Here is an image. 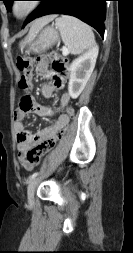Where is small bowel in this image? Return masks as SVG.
Instances as JSON below:
<instances>
[{
	"label": "small bowel",
	"mask_w": 133,
	"mask_h": 253,
	"mask_svg": "<svg viewBox=\"0 0 133 253\" xmlns=\"http://www.w3.org/2000/svg\"><path fill=\"white\" fill-rule=\"evenodd\" d=\"M36 71L40 77L47 79L41 88V93L44 97L50 98L56 91L64 87L63 78L50 70L46 56L38 57ZM69 101V93L63 92L59 98L60 107H65ZM31 113L44 117L51 115L52 110L38 104L34 97H32V93H23L19 107L14 112V129L17 136L19 161L26 170H31L33 168V165L27 160L28 152L39 146L46 139L54 136L58 130L69 123V118L66 114H61L54 124L33 133L24 124L25 118Z\"/></svg>",
	"instance_id": "small-bowel-1"
}]
</instances>
